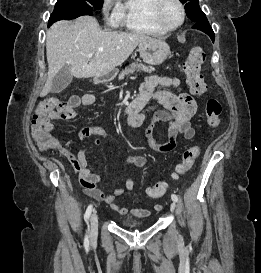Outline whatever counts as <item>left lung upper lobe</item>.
Wrapping results in <instances>:
<instances>
[{"label": "left lung upper lobe", "mask_w": 261, "mask_h": 273, "mask_svg": "<svg viewBox=\"0 0 261 273\" xmlns=\"http://www.w3.org/2000/svg\"><path fill=\"white\" fill-rule=\"evenodd\" d=\"M185 4V11L187 16L194 22H198L206 18V15L200 9L198 0H180Z\"/></svg>", "instance_id": "obj_1"}]
</instances>
